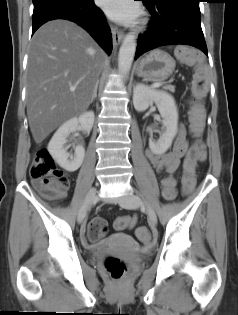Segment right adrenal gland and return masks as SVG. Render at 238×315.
<instances>
[{
  "instance_id": "2a0ac1e0",
  "label": "right adrenal gland",
  "mask_w": 238,
  "mask_h": 315,
  "mask_svg": "<svg viewBox=\"0 0 238 315\" xmlns=\"http://www.w3.org/2000/svg\"><path fill=\"white\" fill-rule=\"evenodd\" d=\"M98 84H99V80H97V82H96L95 89H94V93H93V96H92V98H91V100H90V103H92L93 100L97 97Z\"/></svg>"
}]
</instances>
